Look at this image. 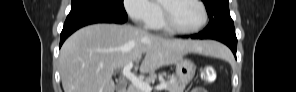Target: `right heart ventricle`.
<instances>
[{"instance_id":"e07e8e85","label":"right heart ventricle","mask_w":296,"mask_h":92,"mask_svg":"<svg viewBox=\"0 0 296 92\" xmlns=\"http://www.w3.org/2000/svg\"><path fill=\"white\" fill-rule=\"evenodd\" d=\"M149 27L154 30L168 31V29L166 28V26L163 23L162 12H161L160 6H159V14H158L157 18L155 19V21L153 23H151L149 25Z\"/></svg>"}]
</instances>
